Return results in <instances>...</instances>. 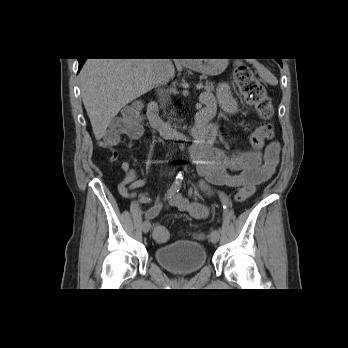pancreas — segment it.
Returning a JSON list of instances; mask_svg holds the SVG:
<instances>
[{
  "label": "pancreas",
  "mask_w": 348,
  "mask_h": 348,
  "mask_svg": "<svg viewBox=\"0 0 348 348\" xmlns=\"http://www.w3.org/2000/svg\"><path fill=\"white\" fill-rule=\"evenodd\" d=\"M204 89L208 92L214 91V83L210 82V81H206ZM173 114H174V112H173Z\"/></svg>",
  "instance_id": "1"
}]
</instances>
